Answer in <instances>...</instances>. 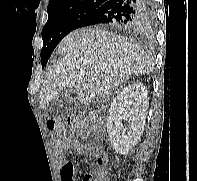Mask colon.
Segmentation results:
<instances>
[{"label":"colon","mask_w":197,"mask_h":181,"mask_svg":"<svg viewBox=\"0 0 197 181\" xmlns=\"http://www.w3.org/2000/svg\"><path fill=\"white\" fill-rule=\"evenodd\" d=\"M65 125L63 121L51 120L47 123V128L50 131L56 147L61 145V139L65 133ZM67 126L74 136H84L92 132L95 128V119L89 118L85 114H77L68 119ZM102 162L103 158H99V164ZM81 181H105V175L100 173L98 178L93 179V172L86 171Z\"/></svg>","instance_id":"obj_1"}]
</instances>
